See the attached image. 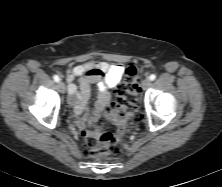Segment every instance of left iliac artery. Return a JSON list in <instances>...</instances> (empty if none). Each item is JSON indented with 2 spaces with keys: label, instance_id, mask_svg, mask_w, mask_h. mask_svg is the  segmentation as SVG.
Instances as JSON below:
<instances>
[{
  "label": "left iliac artery",
  "instance_id": "left-iliac-artery-1",
  "mask_svg": "<svg viewBox=\"0 0 222 187\" xmlns=\"http://www.w3.org/2000/svg\"><path fill=\"white\" fill-rule=\"evenodd\" d=\"M149 78H150V80H151V81H153V80H155V79H156V75H155V74H152V75H150V77H149Z\"/></svg>",
  "mask_w": 222,
  "mask_h": 187
}]
</instances>
